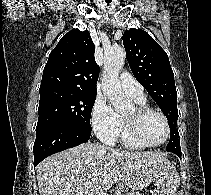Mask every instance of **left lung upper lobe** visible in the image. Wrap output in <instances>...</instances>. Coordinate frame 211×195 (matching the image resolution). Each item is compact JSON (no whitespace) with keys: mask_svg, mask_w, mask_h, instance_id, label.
Wrapping results in <instances>:
<instances>
[{"mask_svg":"<svg viewBox=\"0 0 211 195\" xmlns=\"http://www.w3.org/2000/svg\"><path fill=\"white\" fill-rule=\"evenodd\" d=\"M123 44L133 75L168 119L170 141L166 150L173 153L180 151L177 92L168 55L147 32L141 29L125 31Z\"/></svg>","mask_w":211,"mask_h":195,"instance_id":"obj_1","label":"left lung upper lobe"}]
</instances>
